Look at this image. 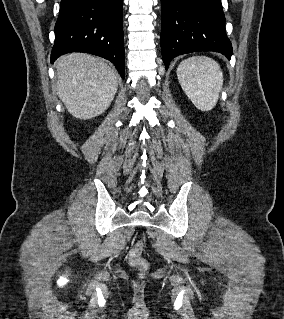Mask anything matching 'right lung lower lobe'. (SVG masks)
<instances>
[{
	"mask_svg": "<svg viewBox=\"0 0 284 319\" xmlns=\"http://www.w3.org/2000/svg\"><path fill=\"white\" fill-rule=\"evenodd\" d=\"M123 0H61L51 63L69 52L111 61L124 79Z\"/></svg>",
	"mask_w": 284,
	"mask_h": 319,
	"instance_id": "1",
	"label": "right lung lower lobe"
}]
</instances>
